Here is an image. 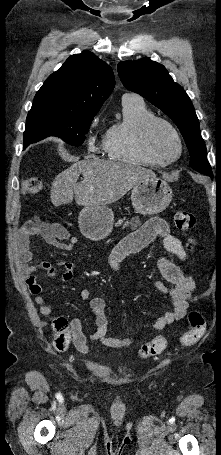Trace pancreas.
Instances as JSON below:
<instances>
[{
	"mask_svg": "<svg viewBox=\"0 0 221 455\" xmlns=\"http://www.w3.org/2000/svg\"><path fill=\"white\" fill-rule=\"evenodd\" d=\"M122 224H123V228L130 227L132 230H134L141 224V222H140L139 217H134L130 221L129 220L125 221V218H124V219L118 220L116 225L120 226Z\"/></svg>",
	"mask_w": 221,
	"mask_h": 455,
	"instance_id": "obj_1",
	"label": "pancreas"
}]
</instances>
